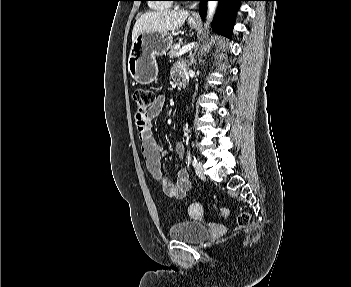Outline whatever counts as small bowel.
Listing matches in <instances>:
<instances>
[{"mask_svg":"<svg viewBox=\"0 0 351 287\" xmlns=\"http://www.w3.org/2000/svg\"><path fill=\"white\" fill-rule=\"evenodd\" d=\"M175 71H180V67L177 66ZM165 102V96L158 95L146 114L141 115L137 113L135 116L136 128L141 141V153L152 177L160 184L167 196L183 198L191 187L189 172L186 168H180L177 171L175 181H172L163 173L161 159L167 152L160 146L157 138L151 131V121L161 113ZM175 151L178 158L181 159L184 155V146L181 142L176 144Z\"/></svg>","mask_w":351,"mask_h":287,"instance_id":"small-bowel-1","label":"small bowel"}]
</instances>
